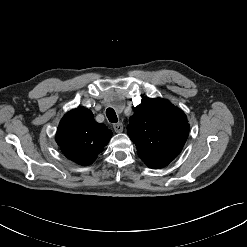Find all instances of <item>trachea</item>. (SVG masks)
I'll use <instances>...</instances> for the list:
<instances>
[{"label": "trachea", "instance_id": "1", "mask_svg": "<svg viewBox=\"0 0 247 247\" xmlns=\"http://www.w3.org/2000/svg\"><path fill=\"white\" fill-rule=\"evenodd\" d=\"M106 115H107V118H108V120L110 122H112V123L118 122L117 115H116L115 111L112 108H108L106 110Z\"/></svg>", "mask_w": 247, "mask_h": 247}]
</instances>
